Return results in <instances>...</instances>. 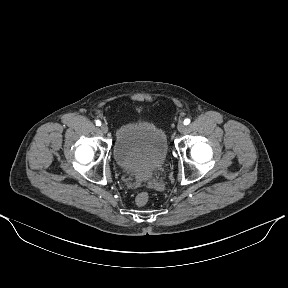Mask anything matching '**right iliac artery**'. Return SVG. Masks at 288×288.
<instances>
[{"instance_id":"right-iliac-artery-1","label":"right iliac artery","mask_w":288,"mask_h":288,"mask_svg":"<svg viewBox=\"0 0 288 288\" xmlns=\"http://www.w3.org/2000/svg\"><path fill=\"white\" fill-rule=\"evenodd\" d=\"M95 124H96L97 126H100V125H101V121H100V120H96V121H95Z\"/></svg>"}]
</instances>
